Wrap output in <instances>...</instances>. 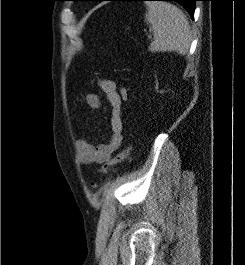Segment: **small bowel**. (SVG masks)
Masks as SVG:
<instances>
[{"label":"small bowel","mask_w":245,"mask_h":265,"mask_svg":"<svg viewBox=\"0 0 245 265\" xmlns=\"http://www.w3.org/2000/svg\"><path fill=\"white\" fill-rule=\"evenodd\" d=\"M98 85L111 106V135L106 143L95 145L87 138H81L76 142L78 158L83 164L107 162L123 142L122 98L117 85L109 79H100ZM85 102L92 109H100L103 105L102 98L95 93H87Z\"/></svg>","instance_id":"1"}]
</instances>
